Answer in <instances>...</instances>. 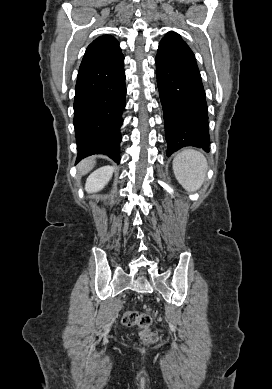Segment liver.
Returning a JSON list of instances; mask_svg holds the SVG:
<instances>
[{"label": "liver", "mask_w": 272, "mask_h": 389, "mask_svg": "<svg viewBox=\"0 0 272 389\" xmlns=\"http://www.w3.org/2000/svg\"><path fill=\"white\" fill-rule=\"evenodd\" d=\"M95 164H96L95 157H90V158H87V159H84L83 161H81L78 164L79 175L83 176V175L87 174L90 170L93 169Z\"/></svg>", "instance_id": "obj_1"}]
</instances>
